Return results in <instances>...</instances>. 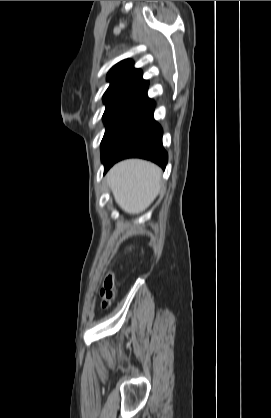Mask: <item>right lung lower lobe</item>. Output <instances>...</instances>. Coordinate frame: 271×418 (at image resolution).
<instances>
[{
	"label": "right lung lower lobe",
	"instance_id": "right-lung-lower-lobe-1",
	"mask_svg": "<svg viewBox=\"0 0 271 418\" xmlns=\"http://www.w3.org/2000/svg\"><path fill=\"white\" fill-rule=\"evenodd\" d=\"M154 108L120 133L102 152L104 173L117 161L138 157L165 169L168 154L162 145L163 130L153 118Z\"/></svg>",
	"mask_w": 271,
	"mask_h": 418
}]
</instances>
